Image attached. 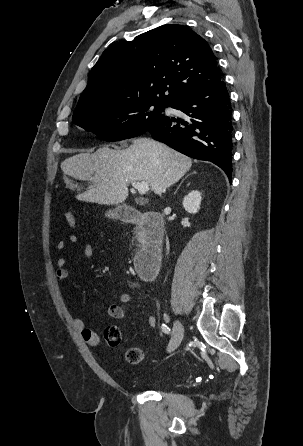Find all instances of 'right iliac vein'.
Returning <instances> with one entry per match:
<instances>
[{
	"mask_svg": "<svg viewBox=\"0 0 303 446\" xmlns=\"http://www.w3.org/2000/svg\"><path fill=\"white\" fill-rule=\"evenodd\" d=\"M184 336V327L182 323L176 319L174 322V330L172 339L168 345V352H173L178 348Z\"/></svg>",
	"mask_w": 303,
	"mask_h": 446,
	"instance_id": "obj_1",
	"label": "right iliac vein"
}]
</instances>
